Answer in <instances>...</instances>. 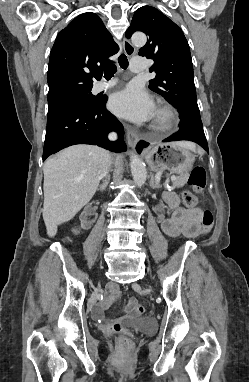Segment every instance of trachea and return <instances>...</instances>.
I'll use <instances>...</instances> for the list:
<instances>
[{
	"mask_svg": "<svg viewBox=\"0 0 249 382\" xmlns=\"http://www.w3.org/2000/svg\"><path fill=\"white\" fill-rule=\"evenodd\" d=\"M118 62L121 68L126 69L128 67V64H129L128 59L124 54L119 56ZM115 72H116V66L110 65L104 70V77L111 78L114 76Z\"/></svg>",
	"mask_w": 249,
	"mask_h": 382,
	"instance_id": "1",
	"label": "trachea"
}]
</instances>
